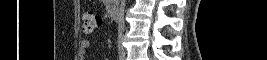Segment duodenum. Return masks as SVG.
Instances as JSON below:
<instances>
[{"label": "duodenum", "mask_w": 267, "mask_h": 60, "mask_svg": "<svg viewBox=\"0 0 267 60\" xmlns=\"http://www.w3.org/2000/svg\"><path fill=\"white\" fill-rule=\"evenodd\" d=\"M108 13H109L110 18L116 19L118 17V13H119L118 6L115 4H110L108 6Z\"/></svg>", "instance_id": "410a0bca"}]
</instances>
